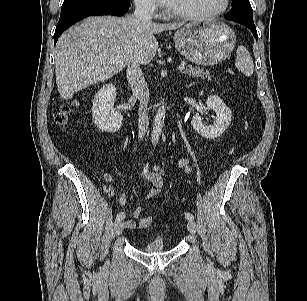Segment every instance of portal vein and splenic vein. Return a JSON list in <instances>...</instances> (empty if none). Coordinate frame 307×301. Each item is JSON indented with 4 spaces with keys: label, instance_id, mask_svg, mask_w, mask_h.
Instances as JSON below:
<instances>
[{
    "label": "portal vein and splenic vein",
    "instance_id": "18ae733b",
    "mask_svg": "<svg viewBox=\"0 0 307 301\" xmlns=\"http://www.w3.org/2000/svg\"><path fill=\"white\" fill-rule=\"evenodd\" d=\"M184 69H185V65L184 64L178 66V70L179 71H183Z\"/></svg>",
    "mask_w": 307,
    "mask_h": 301
}]
</instances>
